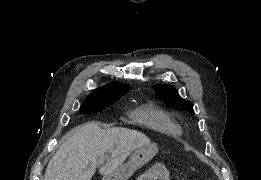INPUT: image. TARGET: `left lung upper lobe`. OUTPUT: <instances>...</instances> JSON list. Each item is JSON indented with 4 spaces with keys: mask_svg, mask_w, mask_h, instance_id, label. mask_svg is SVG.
<instances>
[{
    "mask_svg": "<svg viewBox=\"0 0 261 180\" xmlns=\"http://www.w3.org/2000/svg\"><path fill=\"white\" fill-rule=\"evenodd\" d=\"M155 90H157L158 95L165 101L174 106L181 107L182 110L188 111L191 114H194L193 106L190 101L182 99L175 89L169 85H155Z\"/></svg>",
    "mask_w": 261,
    "mask_h": 180,
    "instance_id": "1",
    "label": "left lung upper lobe"
}]
</instances>
